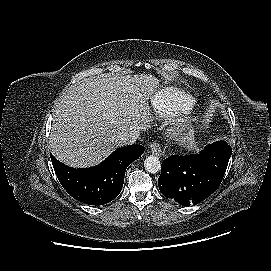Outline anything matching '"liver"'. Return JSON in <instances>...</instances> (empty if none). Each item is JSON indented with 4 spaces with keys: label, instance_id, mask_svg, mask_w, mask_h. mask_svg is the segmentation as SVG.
I'll return each instance as SVG.
<instances>
[{
    "label": "liver",
    "instance_id": "6515ba94",
    "mask_svg": "<svg viewBox=\"0 0 271 271\" xmlns=\"http://www.w3.org/2000/svg\"><path fill=\"white\" fill-rule=\"evenodd\" d=\"M159 80L147 74L87 78L55 106L50 149L61 162L83 168L99 164L117 148V136L146 130L148 104Z\"/></svg>",
    "mask_w": 271,
    "mask_h": 271
}]
</instances>
